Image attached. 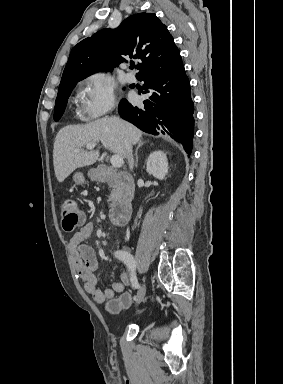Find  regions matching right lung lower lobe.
<instances>
[{"label": "right lung lower lobe", "instance_id": "98d812e1", "mask_svg": "<svg viewBox=\"0 0 283 384\" xmlns=\"http://www.w3.org/2000/svg\"><path fill=\"white\" fill-rule=\"evenodd\" d=\"M142 80L146 88L152 90V95L143 102V108L133 107L127 100H121L118 106L121 118L147 133L172 137L191 154L194 103L184 65Z\"/></svg>", "mask_w": 283, "mask_h": 384}]
</instances>
